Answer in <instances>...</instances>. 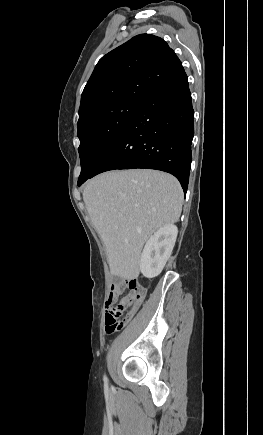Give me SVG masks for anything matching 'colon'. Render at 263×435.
I'll list each match as a JSON object with an SVG mask.
<instances>
[{"label": "colon", "mask_w": 263, "mask_h": 435, "mask_svg": "<svg viewBox=\"0 0 263 435\" xmlns=\"http://www.w3.org/2000/svg\"><path fill=\"white\" fill-rule=\"evenodd\" d=\"M112 290L119 293L124 290L128 292L117 305L112 306L106 312L105 331L107 334L122 329L137 312L145 297V290L136 279H125L114 285ZM123 314V318L120 319Z\"/></svg>", "instance_id": "obj_1"}]
</instances>
